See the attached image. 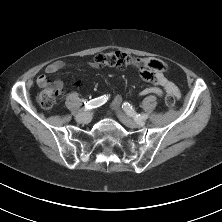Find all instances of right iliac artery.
<instances>
[{
	"mask_svg": "<svg viewBox=\"0 0 222 222\" xmlns=\"http://www.w3.org/2000/svg\"><path fill=\"white\" fill-rule=\"evenodd\" d=\"M107 100H108V95L107 96L106 95L100 96L98 98H95V99H92L90 101L84 102L83 109L87 110V109L97 108V107L105 104V102H107Z\"/></svg>",
	"mask_w": 222,
	"mask_h": 222,
	"instance_id": "right-iliac-artery-1",
	"label": "right iliac artery"
}]
</instances>
